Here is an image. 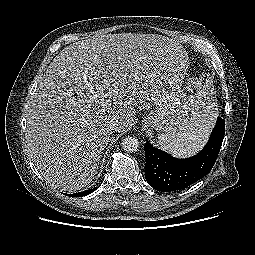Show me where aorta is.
Returning a JSON list of instances; mask_svg holds the SVG:
<instances>
[{
  "instance_id": "obj_1",
  "label": "aorta",
  "mask_w": 255,
  "mask_h": 255,
  "mask_svg": "<svg viewBox=\"0 0 255 255\" xmlns=\"http://www.w3.org/2000/svg\"><path fill=\"white\" fill-rule=\"evenodd\" d=\"M121 146L125 152L134 153L139 149V141L136 137L128 136L123 139Z\"/></svg>"
}]
</instances>
